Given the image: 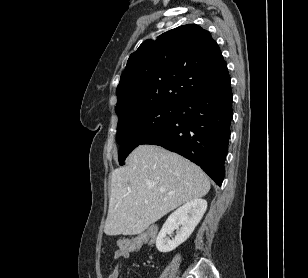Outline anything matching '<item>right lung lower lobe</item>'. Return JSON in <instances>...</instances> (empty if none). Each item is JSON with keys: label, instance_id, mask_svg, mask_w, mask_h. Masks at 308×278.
Returning a JSON list of instances; mask_svg holds the SVG:
<instances>
[{"label": "right lung lower lobe", "instance_id": "98d812e1", "mask_svg": "<svg viewBox=\"0 0 308 278\" xmlns=\"http://www.w3.org/2000/svg\"><path fill=\"white\" fill-rule=\"evenodd\" d=\"M233 94L231 80L178 105L177 117L142 144L176 152L199 165L219 186L224 179Z\"/></svg>", "mask_w": 308, "mask_h": 278}]
</instances>
